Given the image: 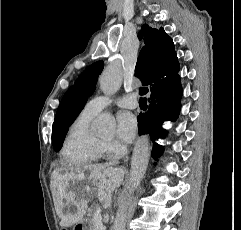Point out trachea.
I'll use <instances>...</instances> for the list:
<instances>
[{
  "label": "trachea",
  "instance_id": "1",
  "mask_svg": "<svg viewBox=\"0 0 241 230\" xmlns=\"http://www.w3.org/2000/svg\"><path fill=\"white\" fill-rule=\"evenodd\" d=\"M148 93V88L147 87H141L140 89H139V94H140V96H144V95H146ZM147 101V99L144 97V98H140V102H146Z\"/></svg>",
  "mask_w": 241,
  "mask_h": 230
}]
</instances>
